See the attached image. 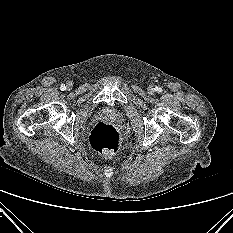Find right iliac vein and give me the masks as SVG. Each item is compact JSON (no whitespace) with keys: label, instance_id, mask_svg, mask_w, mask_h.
I'll return each mask as SVG.
<instances>
[{"label":"right iliac vein","instance_id":"right-iliac-vein-1","mask_svg":"<svg viewBox=\"0 0 233 233\" xmlns=\"http://www.w3.org/2000/svg\"><path fill=\"white\" fill-rule=\"evenodd\" d=\"M66 86H67V89H71L73 87V84H72V82L69 81V82H67Z\"/></svg>","mask_w":233,"mask_h":233}]
</instances>
